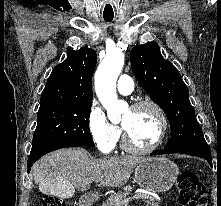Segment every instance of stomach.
Segmentation results:
<instances>
[{
	"label": "stomach",
	"instance_id": "stomach-1",
	"mask_svg": "<svg viewBox=\"0 0 221 206\" xmlns=\"http://www.w3.org/2000/svg\"><path fill=\"white\" fill-rule=\"evenodd\" d=\"M179 169L164 157L145 159L135 168V179L139 186L152 192H165L175 183Z\"/></svg>",
	"mask_w": 221,
	"mask_h": 206
}]
</instances>
